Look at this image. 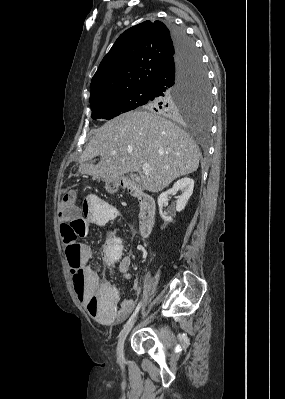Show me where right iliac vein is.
Listing matches in <instances>:
<instances>
[{
	"label": "right iliac vein",
	"instance_id": "obj_1",
	"mask_svg": "<svg viewBox=\"0 0 285 399\" xmlns=\"http://www.w3.org/2000/svg\"><path fill=\"white\" fill-rule=\"evenodd\" d=\"M138 317L134 318L120 333L119 339H118V344H117V356L119 359H122L124 357V344L126 341V338L131 331L133 325L135 324L136 320Z\"/></svg>",
	"mask_w": 285,
	"mask_h": 399
}]
</instances>
